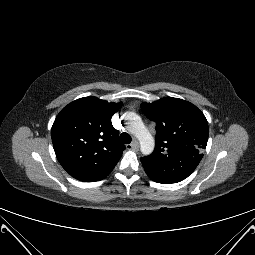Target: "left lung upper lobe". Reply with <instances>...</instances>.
<instances>
[{
    "label": "left lung upper lobe",
    "instance_id": "left-lung-upper-lobe-1",
    "mask_svg": "<svg viewBox=\"0 0 255 255\" xmlns=\"http://www.w3.org/2000/svg\"><path fill=\"white\" fill-rule=\"evenodd\" d=\"M141 109L156 123L154 152L141 158L146 174L155 182L177 183L198 166L208 141V123L192 103L165 97L142 103Z\"/></svg>",
    "mask_w": 255,
    "mask_h": 255
}]
</instances>
